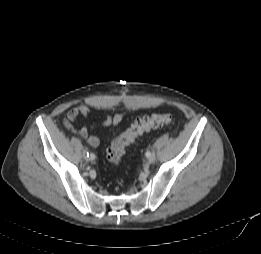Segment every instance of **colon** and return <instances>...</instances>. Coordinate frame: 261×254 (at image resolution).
<instances>
[{
  "label": "colon",
  "mask_w": 261,
  "mask_h": 254,
  "mask_svg": "<svg viewBox=\"0 0 261 254\" xmlns=\"http://www.w3.org/2000/svg\"><path fill=\"white\" fill-rule=\"evenodd\" d=\"M173 122L170 114H152L138 118L118 138H116L107 149L106 158L109 163L116 167L120 164L125 148L132 144L141 134L152 129L168 126Z\"/></svg>",
  "instance_id": "colon-1"
}]
</instances>
